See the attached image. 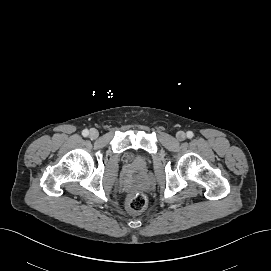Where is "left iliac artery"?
I'll list each match as a JSON object with an SVG mask.
<instances>
[{
    "instance_id": "44dca946",
    "label": "left iliac artery",
    "mask_w": 271,
    "mask_h": 271,
    "mask_svg": "<svg viewBox=\"0 0 271 271\" xmlns=\"http://www.w3.org/2000/svg\"><path fill=\"white\" fill-rule=\"evenodd\" d=\"M194 136L193 132L192 131H188L187 132V137L188 138H192Z\"/></svg>"
}]
</instances>
